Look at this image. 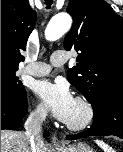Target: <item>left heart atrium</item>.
<instances>
[{"label":"left heart atrium","mask_w":123,"mask_h":152,"mask_svg":"<svg viewBox=\"0 0 123 152\" xmlns=\"http://www.w3.org/2000/svg\"><path fill=\"white\" fill-rule=\"evenodd\" d=\"M35 93L41 103L58 119L64 122L69 119L75 99L64 82L41 80L35 86Z\"/></svg>","instance_id":"obj_1"}]
</instances>
